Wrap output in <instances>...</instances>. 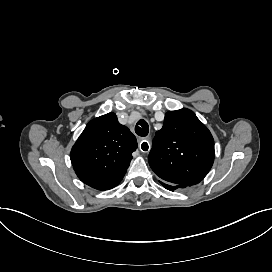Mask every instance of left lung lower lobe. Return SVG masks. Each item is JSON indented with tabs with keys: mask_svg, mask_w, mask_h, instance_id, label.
Wrapping results in <instances>:
<instances>
[{
	"mask_svg": "<svg viewBox=\"0 0 272 272\" xmlns=\"http://www.w3.org/2000/svg\"><path fill=\"white\" fill-rule=\"evenodd\" d=\"M166 189L170 191H174L176 189H180L181 187H178L177 185H173L164 181H159Z\"/></svg>",
	"mask_w": 272,
	"mask_h": 272,
	"instance_id": "0a47b994",
	"label": "left lung lower lobe"
}]
</instances>
